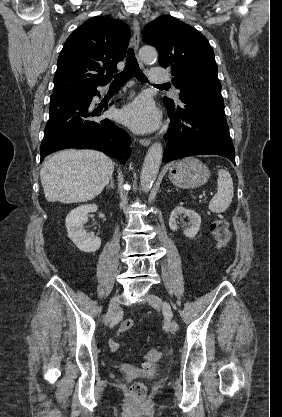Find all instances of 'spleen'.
<instances>
[{"label":"spleen","mask_w":282,"mask_h":417,"mask_svg":"<svg viewBox=\"0 0 282 417\" xmlns=\"http://www.w3.org/2000/svg\"><path fill=\"white\" fill-rule=\"evenodd\" d=\"M233 194L234 186L230 172L224 170V168H219L217 192L209 202L210 211L212 213H224V211H227L228 206L231 204Z\"/></svg>","instance_id":"3e777b00"}]
</instances>
